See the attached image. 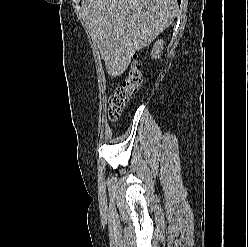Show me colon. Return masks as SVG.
<instances>
[{
	"mask_svg": "<svg viewBox=\"0 0 248 247\" xmlns=\"http://www.w3.org/2000/svg\"><path fill=\"white\" fill-rule=\"evenodd\" d=\"M142 83L141 67L137 59L130 65L127 76L115 89L109 102V117L116 121L132 97L138 92Z\"/></svg>",
	"mask_w": 248,
	"mask_h": 247,
	"instance_id": "1",
	"label": "colon"
}]
</instances>
